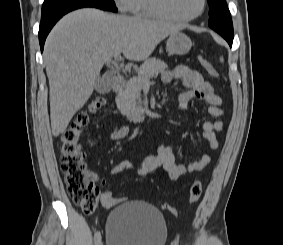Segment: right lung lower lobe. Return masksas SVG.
Instances as JSON below:
<instances>
[{
  "instance_id": "98d812e1",
  "label": "right lung lower lobe",
  "mask_w": 283,
  "mask_h": 245,
  "mask_svg": "<svg viewBox=\"0 0 283 245\" xmlns=\"http://www.w3.org/2000/svg\"><path fill=\"white\" fill-rule=\"evenodd\" d=\"M84 7H95L102 10H108L112 12H117V8L115 7V4H108V3H81V4H74L70 5L66 8H62L59 10H55L53 12H50L48 14L41 16V23L39 27V42L41 51H43L45 39L52 29V27L55 25V23L65 14H67L70 11L84 8Z\"/></svg>"
}]
</instances>
